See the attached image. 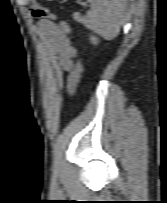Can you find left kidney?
<instances>
[{"label":"left kidney","instance_id":"1","mask_svg":"<svg viewBox=\"0 0 167 203\" xmlns=\"http://www.w3.org/2000/svg\"><path fill=\"white\" fill-rule=\"evenodd\" d=\"M90 41H91V43L94 44V45L98 44V42H99V40H98L96 37H94V36H91V37H90Z\"/></svg>","mask_w":167,"mask_h":203}]
</instances>
